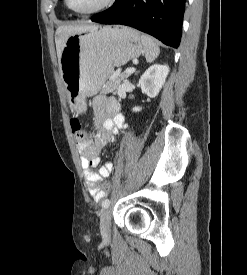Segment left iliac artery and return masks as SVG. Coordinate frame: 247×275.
<instances>
[{
  "mask_svg": "<svg viewBox=\"0 0 247 275\" xmlns=\"http://www.w3.org/2000/svg\"><path fill=\"white\" fill-rule=\"evenodd\" d=\"M110 205V200L109 199H105L103 202H102V207L104 209L108 208Z\"/></svg>",
  "mask_w": 247,
  "mask_h": 275,
  "instance_id": "left-iliac-artery-1",
  "label": "left iliac artery"
}]
</instances>
